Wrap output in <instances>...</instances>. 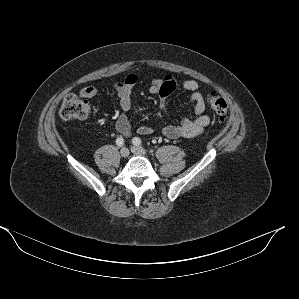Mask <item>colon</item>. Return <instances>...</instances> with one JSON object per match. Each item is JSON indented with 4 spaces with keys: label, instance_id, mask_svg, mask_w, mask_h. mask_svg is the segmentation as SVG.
<instances>
[{
    "label": "colon",
    "instance_id": "obj_1",
    "mask_svg": "<svg viewBox=\"0 0 299 299\" xmlns=\"http://www.w3.org/2000/svg\"><path fill=\"white\" fill-rule=\"evenodd\" d=\"M208 104L218 115L223 123L229 121L228 105L226 101L217 94L208 96ZM91 111L90 104L75 94L67 95L59 109V116L66 121H81L86 119Z\"/></svg>",
    "mask_w": 299,
    "mask_h": 299
}]
</instances>
